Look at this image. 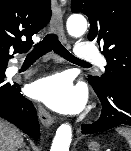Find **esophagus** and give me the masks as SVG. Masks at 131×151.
I'll list each match as a JSON object with an SVG mask.
<instances>
[{
  "label": "esophagus",
  "mask_w": 131,
  "mask_h": 151,
  "mask_svg": "<svg viewBox=\"0 0 131 151\" xmlns=\"http://www.w3.org/2000/svg\"><path fill=\"white\" fill-rule=\"evenodd\" d=\"M51 29L54 33L58 34L62 41H64L63 12L59 7L57 0H53ZM38 116L41 123L47 128L54 123V118L42 105L38 106Z\"/></svg>",
  "instance_id": "34e87169"
}]
</instances>
